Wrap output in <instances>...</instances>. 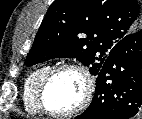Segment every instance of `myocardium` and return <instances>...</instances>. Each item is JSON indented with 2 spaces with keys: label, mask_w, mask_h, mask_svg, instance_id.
Masks as SVG:
<instances>
[{
  "label": "myocardium",
  "mask_w": 142,
  "mask_h": 119,
  "mask_svg": "<svg viewBox=\"0 0 142 119\" xmlns=\"http://www.w3.org/2000/svg\"><path fill=\"white\" fill-rule=\"evenodd\" d=\"M64 70L77 72L83 82V91L79 103L69 111L55 112L50 110L45 103V91L53 77ZM94 79L89 70L79 63L65 62L52 67L42 79L37 92V102L40 110L53 117H72L83 111L90 103L94 93Z\"/></svg>",
  "instance_id": "f54148a6"
}]
</instances>
